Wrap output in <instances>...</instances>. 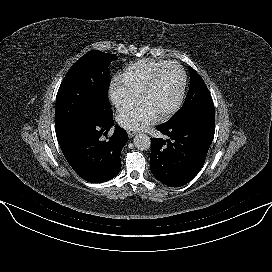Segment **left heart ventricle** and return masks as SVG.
<instances>
[{"mask_svg": "<svg viewBox=\"0 0 272 272\" xmlns=\"http://www.w3.org/2000/svg\"><path fill=\"white\" fill-rule=\"evenodd\" d=\"M182 85L180 70L171 66L162 74L155 88L143 99L158 116L170 109L177 101Z\"/></svg>", "mask_w": 272, "mask_h": 272, "instance_id": "obj_1", "label": "left heart ventricle"}]
</instances>
